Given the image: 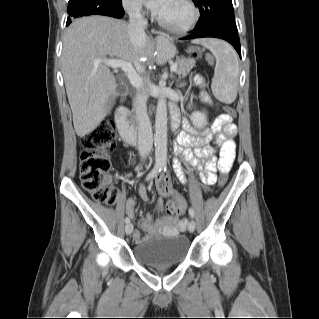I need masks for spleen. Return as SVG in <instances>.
Segmentation results:
<instances>
[{
    "instance_id": "1",
    "label": "spleen",
    "mask_w": 319,
    "mask_h": 319,
    "mask_svg": "<svg viewBox=\"0 0 319 319\" xmlns=\"http://www.w3.org/2000/svg\"><path fill=\"white\" fill-rule=\"evenodd\" d=\"M216 58L214 78L211 89L220 102L231 104L237 97L239 65L234 49L218 39L199 40Z\"/></svg>"
}]
</instances>
